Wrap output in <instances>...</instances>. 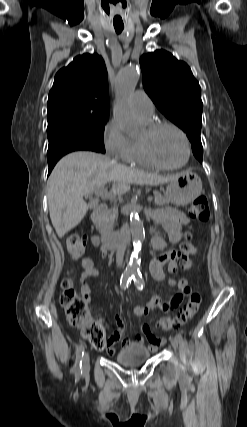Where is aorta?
Returning <instances> with one entry per match:
<instances>
[{
	"instance_id": "obj_1",
	"label": "aorta",
	"mask_w": 247,
	"mask_h": 427,
	"mask_svg": "<svg viewBox=\"0 0 247 427\" xmlns=\"http://www.w3.org/2000/svg\"><path fill=\"white\" fill-rule=\"evenodd\" d=\"M139 80V73L135 66L121 68L116 77V98L113 117L117 125L129 136H135L140 132V125L130 108L129 101ZM130 229L134 244V252L131 255L126 272L129 274L138 271V253L145 238L143 222L136 211L130 214Z\"/></svg>"
}]
</instances>
